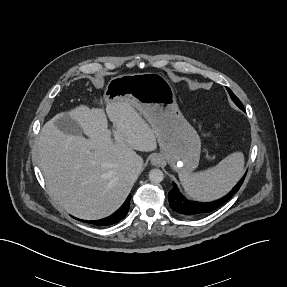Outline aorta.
I'll return each instance as SVG.
<instances>
[{
    "instance_id": "1",
    "label": "aorta",
    "mask_w": 287,
    "mask_h": 287,
    "mask_svg": "<svg viewBox=\"0 0 287 287\" xmlns=\"http://www.w3.org/2000/svg\"><path fill=\"white\" fill-rule=\"evenodd\" d=\"M164 179V174L160 169H152L149 172V180L152 183H160Z\"/></svg>"
}]
</instances>
